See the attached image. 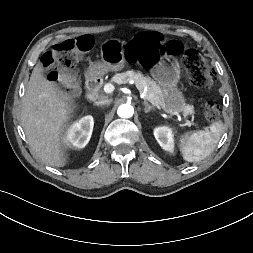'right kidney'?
Listing matches in <instances>:
<instances>
[{
	"instance_id": "1",
	"label": "right kidney",
	"mask_w": 253,
	"mask_h": 253,
	"mask_svg": "<svg viewBox=\"0 0 253 253\" xmlns=\"http://www.w3.org/2000/svg\"><path fill=\"white\" fill-rule=\"evenodd\" d=\"M94 120L92 116H85L69 128L66 135V145L71 148H84L92 135Z\"/></svg>"
}]
</instances>
